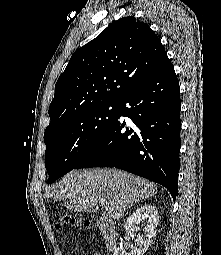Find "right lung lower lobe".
<instances>
[{
  "label": "right lung lower lobe",
  "mask_w": 221,
  "mask_h": 255,
  "mask_svg": "<svg viewBox=\"0 0 221 255\" xmlns=\"http://www.w3.org/2000/svg\"><path fill=\"white\" fill-rule=\"evenodd\" d=\"M116 121L74 168L116 167L165 186L175 200L180 167V92L170 60L119 102ZM128 117L127 126L120 117Z\"/></svg>",
  "instance_id": "right-lung-lower-lobe-1"
}]
</instances>
